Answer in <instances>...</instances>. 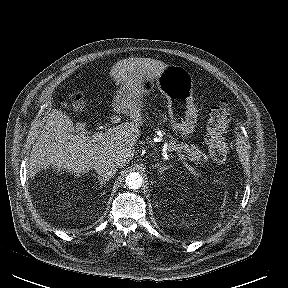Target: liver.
Returning a JSON list of instances; mask_svg holds the SVG:
<instances>
[{"label":"liver","instance_id":"liver-1","mask_svg":"<svg viewBox=\"0 0 288 288\" xmlns=\"http://www.w3.org/2000/svg\"><path fill=\"white\" fill-rule=\"evenodd\" d=\"M167 68L163 62L150 58H128L112 67L110 76L120 86L114 110L129 117L130 121L108 128L100 140L93 141L76 134L71 119L61 110L53 109L32 147L29 176L33 178L50 166L58 171L86 173L104 158L114 159L118 167L125 166L134 156L140 126L145 123L141 111L146 86ZM119 121L117 115L112 118L113 123Z\"/></svg>","mask_w":288,"mask_h":288}]
</instances>
